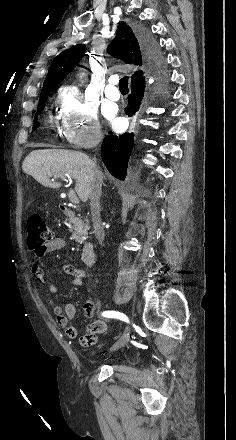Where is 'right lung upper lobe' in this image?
Returning <instances> with one entry per match:
<instances>
[{"label":"right lung upper lobe","mask_w":236,"mask_h":440,"mask_svg":"<svg viewBox=\"0 0 236 440\" xmlns=\"http://www.w3.org/2000/svg\"><path fill=\"white\" fill-rule=\"evenodd\" d=\"M108 52L124 60L127 64L145 66L146 61L142 52L139 35H137L125 22H121L117 29V36L108 48ZM85 53V45L78 44L61 52L52 62L40 98L44 97L50 91H53L57 85L73 70L79 63ZM145 80L143 72L140 70L131 76V86L136 82Z\"/></svg>","instance_id":"1"}]
</instances>
